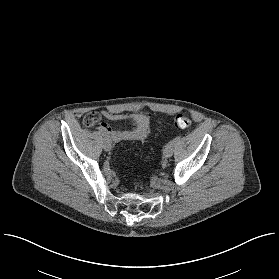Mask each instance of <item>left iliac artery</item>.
Instances as JSON below:
<instances>
[{
	"instance_id": "44dca946",
	"label": "left iliac artery",
	"mask_w": 279,
	"mask_h": 279,
	"mask_svg": "<svg viewBox=\"0 0 279 279\" xmlns=\"http://www.w3.org/2000/svg\"><path fill=\"white\" fill-rule=\"evenodd\" d=\"M179 138H180V136H178V137H176L175 139H173L171 142H169V143L167 144L166 147H168V146H174V145L177 143V141L179 140Z\"/></svg>"
}]
</instances>
